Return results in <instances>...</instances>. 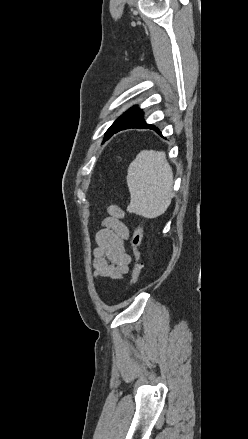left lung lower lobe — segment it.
Masks as SVG:
<instances>
[{
    "label": "left lung lower lobe",
    "instance_id": "obj_1",
    "mask_svg": "<svg viewBox=\"0 0 248 439\" xmlns=\"http://www.w3.org/2000/svg\"><path fill=\"white\" fill-rule=\"evenodd\" d=\"M130 128L153 129L156 132L160 133L158 128L153 125L147 124L143 119L142 111L139 108H135L129 115H127L110 130V132L106 136V139L111 137L114 133Z\"/></svg>",
    "mask_w": 248,
    "mask_h": 439
}]
</instances>
